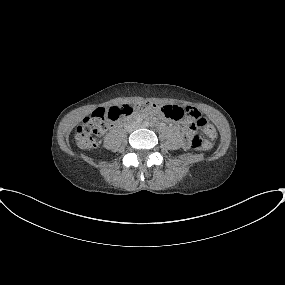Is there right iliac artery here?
Returning a JSON list of instances; mask_svg holds the SVG:
<instances>
[{
	"instance_id": "82829eb1",
	"label": "right iliac artery",
	"mask_w": 285,
	"mask_h": 285,
	"mask_svg": "<svg viewBox=\"0 0 285 285\" xmlns=\"http://www.w3.org/2000/svg\"><path fill=\"white\" fill-rule=\"evenodd\" d=\"M142 120H138V122L140 123Z\"/></svg>"
}]
</instances>
